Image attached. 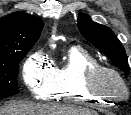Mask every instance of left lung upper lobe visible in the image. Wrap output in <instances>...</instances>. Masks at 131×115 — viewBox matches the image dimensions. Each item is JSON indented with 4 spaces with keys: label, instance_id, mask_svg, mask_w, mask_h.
<instances>
[{
    "label": "left lung upper lobe",
    "instance_id": "1",
    "mask_svg": "<svg viewBox=\"0 0 131 115\" xmlns=\"http://www.w3.org/2000/svg\"><path fill=\"white\" fill-rule=\"evenodd\" d=\"M77 25L85 39L107 55L122 71H129L124 47L110 28L93 22L89 15L81 12L78 14Z\"/></svg>",
    "mask_w": 131,
    "mask_h": 115
}]
</instances>
